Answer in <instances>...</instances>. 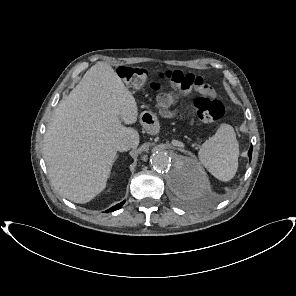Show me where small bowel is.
Wrapping results in <instances>:
<instances>
[{
  "instance_id": "obj_1",
  "label": "small bowel",
  "mask_w": 296,
  "mask_h": 296,
  "mask_svg": "<svg viewBox=\"0 0 296 296\" xmlns=\"http://www.w3.org/2000/svg\"><path fill=\"white\" fill-rule=\"evenodd\" d=\"M156 87V85H153ZM175 98L172 94H161L158 98V107L163 116L169 117L172 112L169 111V107L174 103Z\"/></svg>"
}]
</instances>
